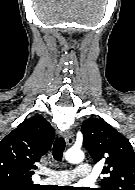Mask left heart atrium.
Returning <instances> with one entry per match:
<instances>
[{
  "instance_id": "obj_1",
  "label": "left heart atrium",
  "mask_w": 135,
  "mask_h": 190,
  "mask_svg": "<svg viewBox=\"0 0 135 190\" xmlns=\"http://www.w3.org/2000/svg\"><path fill=\"white\" fill-rule=\"evenodd\" d=\"M65 190H80L78 187H68L67 189Z\"/></svg>"
}]
</instances>
